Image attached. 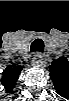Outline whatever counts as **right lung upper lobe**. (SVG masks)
I'll return each instance as SVG.
<instances>
[{
	"mask_svg": "<svg viewBox=\"0 0 69 101\" xmlns=\"http://www.w3.org/2000/svg\"><path fill=\"white\" fill-rule=\"evenodd\" d=\"M21 70H22V67L16 64L9 65L5 69L3 73L2 83L5 85V89L8 92L12 91L14 85L16 84V81L19 77Z\"/></svg>",
	"mask_w": 69,
	"mask_h": 101,
	"instance_id": "cb5924a9",
	"label": "right lung upper lobe"
}]
</instances>
